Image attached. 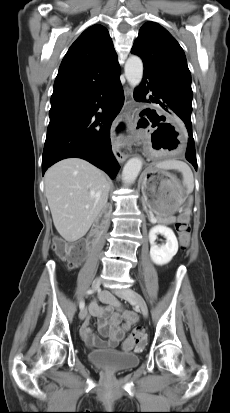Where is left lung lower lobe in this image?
I'll use <instances>...</instances> for the list:
<instances>
[{
    "instance_id": "1",
    "label": "left lung lower lobe",
    "mask_w": 230,
    "mask_h": 413,
    "mask_svg": "<svg viewBox=\"0 0 230 413\" xmlns=\"http://www.w3.org/2000/svg\"><path fill=\"white\" fill-rule=\"evenodd\" d=\"M149 90L152 91V94L155 96L151 97L152 102L160 104L164 110L179 117L185 124L188 132V145L185 157L194 166L195 170H197L195 144L192 135L191 111L181 102L162 93L156 81L151 76L145 74L143 75L141 86L135 91V100L138 102H149L145 98Z\"/></svg>"
}]
</instances>
